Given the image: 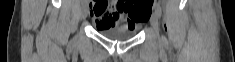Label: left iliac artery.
Here are the masks:
<instances>
[{"instance_id": "44dca946", "label": "left iliac artery", "mask_w": 235, "mask_h": 62, "mask_svg": "<svg viewBox=\"0 0 235 62\" xmlns=\"http://www.w3.org/2000/svg\"><path fill=\"white\" fill-rule=\"evenodd\" d=\"M154 9H155V13H156L157 16L160 18L161 15H162L161 6H160L158 3H156L155 6H154ZM162 40H163V42H164L165 44H167V39H166V37L163 36V37H162Z\"/></svg>"}]
</instances>
